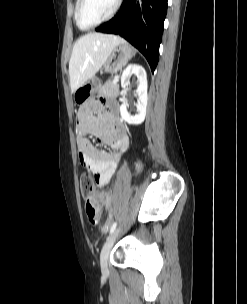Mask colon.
<instances>
[{
	"label": "colon",
	"mask_w": 247,
	"mask_h": 304,
	"mask_svg": "<svg viewBox=\"0 0 247 304\" xmlns=\"http://www.w3.org/2000/svg\"><path fill=\"white\" fill-rule=\"evenodd\" d=\"M81 195L86 199V214L91 223H95L100 216L102 205L109 199L106 192L95 193L96 186L94 178L83 173L79 179Z\"/></svg>",
	"instance_id": "1"
}]
</instances>
